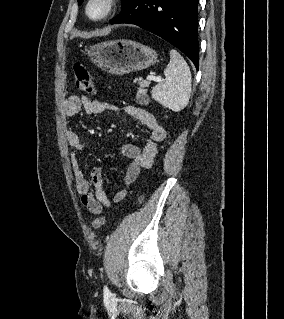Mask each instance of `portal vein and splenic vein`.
<instances>
[{"label":"portal vein and splenic vein","instance_id":"18ae733b","mask_svg":"<svg viewBox=\"0 0 284 319\" xmlns=\"http://www.w3.org/2000/svg\"><path fill=\"white\" fill-rule=\"evenodd\" d=\"M147 81H155V82H161L162 81V78L161 77H156V76H153V75H148L146 77Z\"/></svg>","mask_w":284,"mask_h":319}]
</instances>
